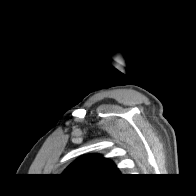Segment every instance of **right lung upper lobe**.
I'll use <instances>...</instances> for the list:
<instances>
[{"label": "right lung upper lobe", "mask_w": 196, "mask_h": 196, "mask_svg": "<svg viewBox=\"0 0 196 196\" xmlns=\"http://www.w3.org/2000/svg\"><path fill=\"white\" fill-rule=\"evenodd\" d=\"M63 174L88 178L111 177L119 174L112 161L100 155H86L72 163Z\"/></svg>", "instance_id": "right-lung-upper-lobe-1"}]
</instances>
